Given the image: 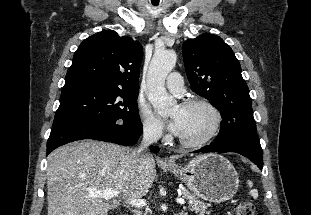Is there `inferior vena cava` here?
<instances>
[{
	"instance_id": "602c4592",
	"label": "inferior vena cava",
	"mask_w": 311,
	"mask_h": 215,
	"mask_svg": "<svg viewBox=\"0 0 311 215\" xmlns=\"http://www.w3.org/2000/svg\"><path fill=\"white\" fill-rule=\"evenodd\" d=\"M160 136V131L152 126H145L143 128L142 140L139 147L133 151V157L139 158L143 162H145V152L151 144L157 141Z\"/></svg>"
}]
</instances>
